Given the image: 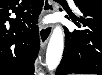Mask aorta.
<instances>
[{"label": "aorta", "instance_id": "obj_1", "mask_svg": "<svg viewBox=\"0 0 102 75\" xmlns=\"http://www.w3.org/2000/svg\"><path fill=\"white\" fill-rule=\"evenodd\" d=\"M64 47V34L60 26H56L51 35L47 52L46 65L48 70H54L59 65Z\"/></svg>", "mask_w": 102, "mask_h": 75}]
</instances>
